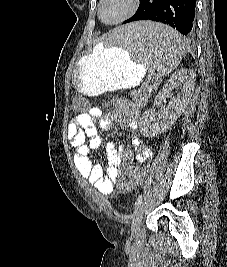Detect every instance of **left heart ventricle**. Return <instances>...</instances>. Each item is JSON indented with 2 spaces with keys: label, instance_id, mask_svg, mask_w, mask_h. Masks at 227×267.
<instances>
[{
  "label": "left heart ventricle",
  "instance_id": "b2bd125f",
  "mask_svg": "<svg viewBox=\"0 0 227 267\" xmlns=\"http://www.w3.org/2000/svg\"><path fill=\"white\" fill-rule=\"evenodd\" d=\"M130 0H106L102 16L105 21H113L122 16L129 8Z\"/></svg>",
  "mask_w": 227,
  "mask_h": 267
}]
</instances>
